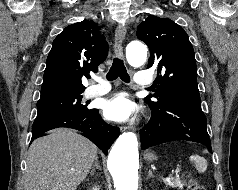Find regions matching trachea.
<instances>
[{
  "mask_svg": "<svg viewBox=\"0 0 238 190\" xmlns=\"http://www.w3.org/2000/svg\"><path fill=\"white\" fill-rule=\"evenodd\" d=\"M118 77L126 83L130 82V77L123 61L119 58H114L112 66L107 74V79L114 80Z\"/></svg>",
  "mask_w": 238,
  "mask_h": 190,
  "instance_id": "trachea-1",
  "label": "trachea"
}]
</instances>
